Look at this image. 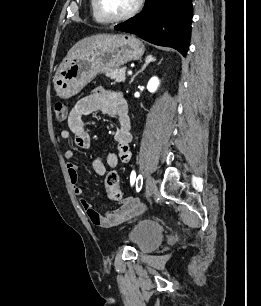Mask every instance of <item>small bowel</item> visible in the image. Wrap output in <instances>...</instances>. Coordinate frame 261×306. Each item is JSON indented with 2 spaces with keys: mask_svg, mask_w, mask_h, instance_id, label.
Here are the masks:
<instances>
[{
  "mask_svg": "<svg viewBox=\"0 0 261 306\" xmlns=\"http://www.w3.org/2000/svg\"><path fill=\"white\" fill-rule=\"evenodd\" d=\"M99 111L113 117L117 125L114 133L116 152H109L105 157L99 156L92 161V168L95 173L99 176H104L107 172L106 166L116 168L120 162L128 163L131 160V125L127 103L120 92L99 88L80 99L68 115V128L61 130L60 136L64 140L73 137L78 148L88 149L91 146V137L85 127L83 118ZM75 155V149H68L64 153V157L68 161L67 170L69 179L82 208L94 225L113 227L142 211V204L133 196L126 197L123 204L112 212L101 213L94 209L83 197V189L79 185L78 179V166L72 162Z\"/></svg>",
  "mask_w": 261,
  "mask_h": 306,
  "instance_id": "obj_1",
  "label": "small bowel"
}]
</instances>
